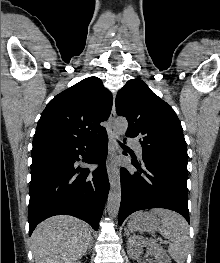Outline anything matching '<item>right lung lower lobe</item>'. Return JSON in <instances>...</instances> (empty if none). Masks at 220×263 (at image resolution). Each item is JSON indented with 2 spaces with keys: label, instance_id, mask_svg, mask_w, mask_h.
Here are the masks:
<instances>
[{
  "label": "right lung lower lobe",
  "instance_id": "right-lung-lower-lobe-1",
  "mask_svg": "<svg viewBox=\"0 0 220 263\" xmlns=\"http://www.w3.org/2000/svg\"><path fill=\"white\" fill-rule=\"evenodd\" d=\"M107 145L105 132L87 142L32 149L29 236L38 223L59 214L80 218L98 230L109 192ZM79 155L99 167L94 171L77 167Z\"/></svg>",
  "mask_w": 220,
  "mask_h": 263
}]
</instances>
